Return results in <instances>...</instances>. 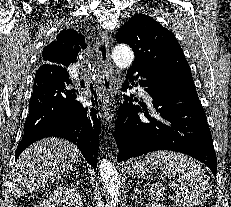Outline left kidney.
Masks as SVG:
<instances>
[{
	"label": "left kidney",
	"instance_id": "5707ae66",
	"mask_svg": "<svg viewBox=\"0 0 231 207\" xmlns=\"http://www.w3.org/2000/svg\"><path fill=\"white\" fill-rule=\"evenodd\" d=\"M151 207H165L163 204H160L158 202H154Z\"/></svg>",
	"mask_w": 231,
	"mask_h": 207
}]
</instances>
